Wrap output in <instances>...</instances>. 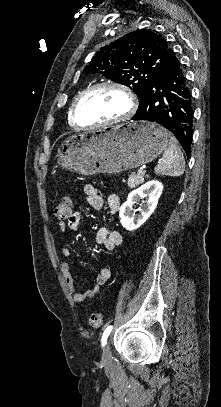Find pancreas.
<instances>
[{"mask_svg":"<svg viewBox=\"0 0 221 407\" xmlns=\"http://www.w3.org/2000/svg\"><path fill=\"white\" fill-rule=\"evenodd\" d=\"M143 182H144V174L132 173L129 175V178H128V187L135 188L136 186L140 185Z\"/></svg>","mask_w":221,"mask_h":407,"instance_id":"1","label":"pancreas"}]
</instances>
